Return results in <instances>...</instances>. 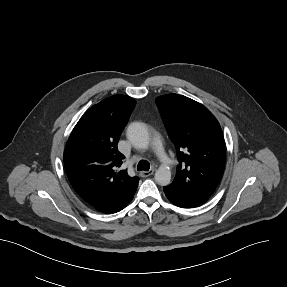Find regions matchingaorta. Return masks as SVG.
Returning <instances> with one entry per match:
<instances>
[{
	"mask_svg": "<svg viewBox=\"0 0 287 287\" xmlns=\"http://www.w3.org/2000/svg\"><path fill=\"white\" fill-rule=\"evenodd\" d=\"M127 138L135 148L147 149L149 145V133L146 126L140 122H134L127 129ZM155 181L161 186H167L171 181V171L167 166H160L155 172Z\"/></svg>",
	"mask_w": 287,
	"mask_h": 287,
	"instance_id": "obj_1",
	"label": "aorta"
}]
</instances>
